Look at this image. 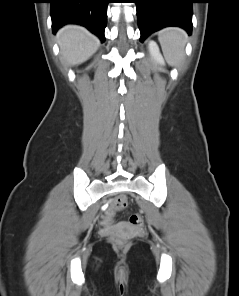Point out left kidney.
<instances>
[{
    "label": "left kidney",
    "mask_w": 239,
    "mask_h": 296,
    "mask_svg": "<svg viewBox=\"0 0 239 296\" xmlns=\"http://www.w3.org/2000/svg\"><path fill=\"white\" fill-rule=\"evenodd\" d=\"M148 50L152 59L159 65L164 66L165 61L160 53L159 47L155 41H149Z\"/></svg>",
    "instance_id": "5707ae66"
}]
</instances>
